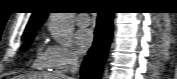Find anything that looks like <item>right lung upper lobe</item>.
Returning a JSON list of instances; mask_svg holds the SVG:
<instances>
[{
	"label": "right lung upper lobe",
	"instance_id": "1",
	"mask_svg": "<svg viewBox=\"0 0 177 79\" xmlns=\"http://www.w3.org/2000/svg\"><path fill=\"white\" fill-rule=\"evenodd\" d=\"M47 15L48 12L44 9H38L33 12L24 34L29 31L38 30L46 20Z\"/></svg>",
	"mask_w": 177,
	"mask_h": 79
}]
</instances>
